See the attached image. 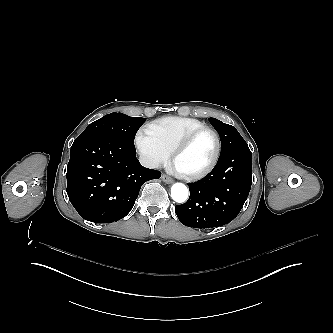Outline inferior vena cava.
<instances>
[{
    "label": "inferior vena cava",
    "mask_w": 333,
    "mask_h": 333,
    "mask_svg": "<svg viewBox=\"0 0 333 333\" xmlns=\"http://www.w3.org/2000/svg\"><path fill=\"white\" fill-rule=\"evenodd\" d=\"M140 162L142 165H144L145 167H148V168H158L159 167L158 162L149 160L145 156L140 157Z\"/></svg>",
    "instance_id": "602c4592"
}]
</instances>
